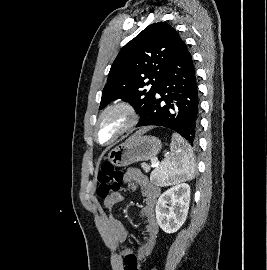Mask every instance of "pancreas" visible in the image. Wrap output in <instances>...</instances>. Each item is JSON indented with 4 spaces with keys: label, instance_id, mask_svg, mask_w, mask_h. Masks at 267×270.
Wrapping results in <instances>:
<instances>
[{
    "label": "pancreas",
    "instance_id": "obj_1",
    "mask_svg": "<svg viewBox=\"0 0 267 270\" xmlns=\"http://www.w3.org/2000/svg\"><path fill=\"white\" fill-rule=\"evenodd\" d=\"M141 167L143 168L144 171L149 172L150 171V167L146 164V163H142ZM151 181L155 184L158 183L157 180V176H156V170L152 172L151 177H150Z\"/></svg>",
    "mask_w": 267,
    "mask_h": 270
}]
</instances>
